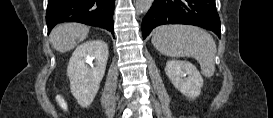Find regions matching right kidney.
I'll use <instances>...</instances> for the list:
<instances>
[{
  "instance_id": "1",
  "label": "right kidney",
  "mask_w": 273,
  "mask_h": 118,
  "mask_svg": "<svg viewBox=\"0 0 273 118\" xmlns=\"http://www.w3.org/2000/svg\"><path fill=\"white\" fill-rule=\"evenodd\" d=\"M108 56V45L102 40L87 41L73 52L67 75L71 92L82 107L93 102L105 74ZM85 63H89L91 68Z\"/></svg>"
}]
</instances>
